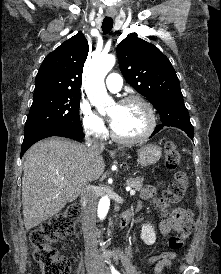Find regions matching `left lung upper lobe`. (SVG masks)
I'll use <instances>...</instances> for the list:
<instances>
[{"label":"left lung upper lobe","instance_id":"left-lung-upper-lobe-1","mask_svg":"<svg viewBox=\"0 0 221 274\" xmlns=\"http://www.w3.org/2000/svg\"><path fill=\"white\" fill-rule=\"evenodd\" d=\"M117 55L126 81L152 103L160 117L185 106L176 72L156 46L132 33L117 46Z\"/></svg>","mask_w":221,"mask_h":274}]
</instances>
